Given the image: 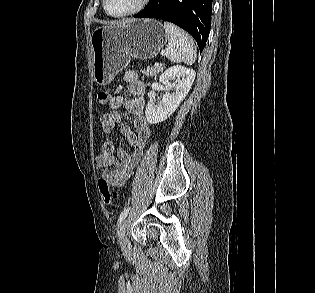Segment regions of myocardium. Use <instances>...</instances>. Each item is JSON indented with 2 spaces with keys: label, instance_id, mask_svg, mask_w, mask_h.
Returning <instances> with one entry per match:
<instances>
[{
  "label": "myocardium",
  "instance_id": "myocardium-1",
  "mask_svg": "<svg viewBox=\"0 0 315 293\" xmlns=\"http://www.w3.org/2000/svg\"><path fill=\"white\" fill-rule=\"evenodd\" d=\"M150 2V0H140L139 4L132 10L123 13V14H112L111 12H109L108 8H107V0H103V9L105 11V13L111 17L114 18H124V17H128V16H132L135 15L139 12H141Z\"/></svg>",
  "mask_w": 315,
  "mask_h": 293
}]
</instances>
